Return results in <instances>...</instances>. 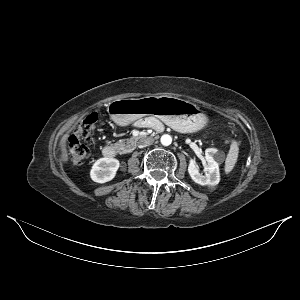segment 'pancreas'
<instances>
[{
	"label": "pancreas",
	"mask_w": 300,
	"mask_h": 300,
	"mask_svg": "<svg viewBox=\"0 0 300 300\" xmlns=\"http://www.w3.org/2000/svg\"><path fill=\"white\" fill-rule=\"evenodd\" d=\"M138 138H131V139H122L119 142H117L115 145L119 148V150L121 151V153H128L130 152L132 149L130 148V144L131 143H135L137 141Z\"/></svg>",
	"instance_id": "1"
}]
</instances>
